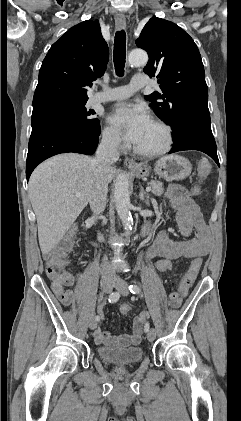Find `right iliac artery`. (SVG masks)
I'll return each mask as SVG.
<instances>
[{"label":"right iliac artery","mask_w":241,"mask_h":421,"mask_svg":"<svg viewBox=\"0 0 241 421\" xmlns=\"http://www.w3.org/2000/svg\"><path fill=\"white\" fill-rule=\"evenodd\" d=\"M119 297H120V295L118 294V293H112V294H110L109 295V299H108V301L110 302V303H114V302H117L118 300H119ZM95 320L96 321H99L100 320V316H95Z\"/></svg>","instance_id":"right-iliac-artery-1"}]
</instances>
